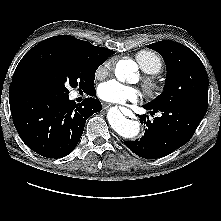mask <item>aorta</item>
I'll return each instance as SVG.
<instances>
[{
    "label": "aorta",
    "mask_w": 221,
    "mask_h": 221,
    "mask_svg": "<svg viewBox=\"0 0 221 221\" xmlns=\"http://www.w3.org/2000/svg\"><path fill=\"white\" fill-rule=\"evenodd\" d=\"M137 69L134 61L122 60L117 64L115 75L119 81L130 82L136 77ZM107 118L111 127L124 138H134L140 132V123L127 119L117 108L110 109Z\"/></svg>",
    "instance_id": "obj_1"
}]
</instances>
